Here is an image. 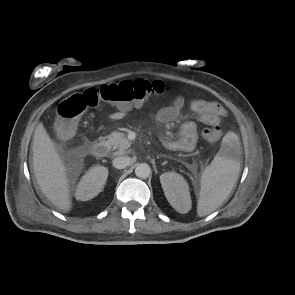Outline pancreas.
I'll return each instance as SVG.
<instances>
[{"instance_id": "1", "label": "pancreas", "mask_w": 295, "mask_h": 295, "mask_svg": "<svg viewBox=\"0 0 295 295\" xmlns=\"http://www.w3.org/2000/svg\"><path fill=\"white\" fill-rule=\"evenodd\" d=\"M107 140L113 149H118L121 154H124L125 150L131 146V142L121 132H112L107 136Z\"/></svg>"}]
</instances>
